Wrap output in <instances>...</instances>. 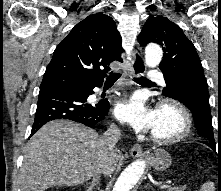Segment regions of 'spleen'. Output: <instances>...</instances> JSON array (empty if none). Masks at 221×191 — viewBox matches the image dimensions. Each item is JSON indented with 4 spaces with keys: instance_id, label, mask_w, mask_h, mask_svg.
Masks as SVG:
<instances>
[{
    "instance_id": "obj_1",
    "label": "spleen",
    "mask_w": 221,
    "mask_h": 191,
    "mask_svg": "<svg viewBox=\"0 0 221 191\" xmlns=\"http://www.w3.org/2000/svg\"><path fill=\"white\" fill-rule=\"evenodd\" d=\"M215 186L213 182H206L201 186L200 191H214Z\"/></svg>"
}]
</instances>
